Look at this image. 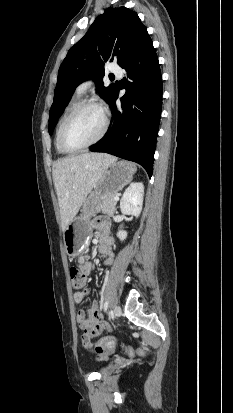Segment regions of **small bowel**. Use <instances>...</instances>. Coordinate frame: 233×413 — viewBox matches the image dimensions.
Returning <instances> with one entry per match:
<instances>
[{
    "label": "small bowel",
    "mask_w": 233,
    "mask_h": 413,
    "mask_svg": "<svg viewBox=\"0 0 233 413\" xmlns=\"http://www.w3.org/2000/svg\"><path fill=\"white\" fill-rule=\"evenodd\" d=\"M94 226L101 229L103 233L100 235V245L99 252L105 259V263L111 266L113 263V249H112V238L107 233L108 224L105 220H97ZM80 270L87 276L90 274L92 265L90 262L80 260ZM88 291L76 292L74 293V302L76 304H81L84 302ZM77 322L80 328L83 330L82 342L85 347L91 346V338L102 334L105 330L110 329L109 322L103 320L102 314L97 302H92L90 309L87 311L79 310L77 312ZM114 348L113 345L106 351L98 353L99 358L104 360L107 358L108 353Z\"/></svg>",
    "instance_id": "obj_1"
}]
</instances>
